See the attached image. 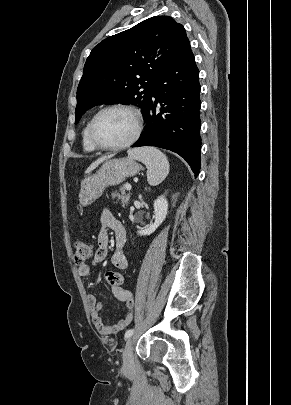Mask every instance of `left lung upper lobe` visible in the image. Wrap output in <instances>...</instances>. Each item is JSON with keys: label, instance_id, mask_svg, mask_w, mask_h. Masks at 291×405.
Returning <instances> with one entry per match:
<instances>
[{"label": "left lung upper lobe", "instance_id": "obj_1", "mask_svg": "<svg viewBox=\"0 0 291 405\" xmlns=\"http://www.w3.org/2000/svg\"><path fill=\"white\" fill-rule=\"evenodd\" d=\"M186 38L173 18L154 16L100 42L78 85L75 124L105 103L137 105L144 114L153 84Z\"/></svg>", "mask_w": 291, "mask_h": 405}]
</instances>
